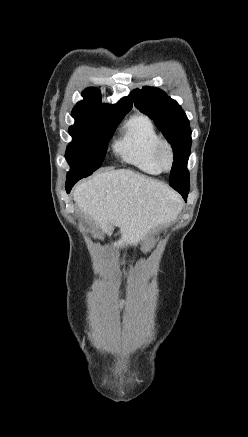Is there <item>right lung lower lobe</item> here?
<instances>
[{"instance_id":"98d812e1","label":"right lung lower lobe","mask_w":248,"mask_h":437,"mask_svg":"<svg viewBox=\"0 0 248 437\" xmlns=\"http://www.w3.org/2000/svg\"><path fill=\"white\" fill-rule=\"evenodd\" d=\"M80 177H71V178H67L66 181V191L69 193L71 188L73 187V185L80 180Z\"/></svg>"}]
</instances>
